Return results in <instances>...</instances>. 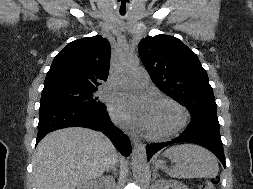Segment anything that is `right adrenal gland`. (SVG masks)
<instances>
[{"label":"right adrenal gland","mask_w":253,"mask_h":189,"mask_svg":"<svg viewBox=\"0 0 253 189\" xmlns=\"http://www.w3.org/2000/svg\"><path fill=\"white\" fill-rule=\"evenodd\" d=\"M113 172V174H114V176L116 177L117 176V167L115 166V167H113V168H111V169H109V170H107L106 172L108 173V172Z\"/></svg>","instance_id":"right-adrenal-gland-1"}]
</instances>
